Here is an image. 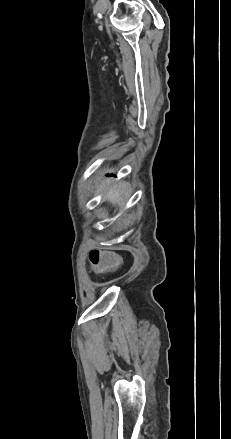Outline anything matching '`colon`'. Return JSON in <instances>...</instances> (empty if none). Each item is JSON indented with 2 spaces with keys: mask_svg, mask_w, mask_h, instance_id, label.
<instances>
[{
  "mask_svg": "<svg viewBox=\"0 0 231 439\" xmlns=\"http://www.w3.org/2000/svg\"><path fill=\"white\" fill-rule=\"evenodd\" d=\"M90 263L96 271L106 272L117 268L119 260L109 253L92 248V252L90 253Z\"/></svg>",
  "mask_w": 231,
  "mask_h": 439,
  "instance_id": "colon-1",
  "label": "colon"
}]
</instances>
